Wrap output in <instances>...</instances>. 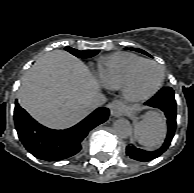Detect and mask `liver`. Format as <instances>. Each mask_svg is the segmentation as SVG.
Here are the masks:
<instances>
[{"mask_svg": "<svg viewBox=\"0 0 194 193\" xmlns=\"http://www.w3.org/2000/svg\"><path fill=\"white\" fill-rule=\"evenodd\" d=\"M99 91V84L82 61L65 51L54 50L25 73L18 101L44 126L65 129L92 111L87 103Z\"/></svg>", "mask_w": 194, "mask_h": 193, "instance_id": "1", "label": "liver"}]
</instances>
